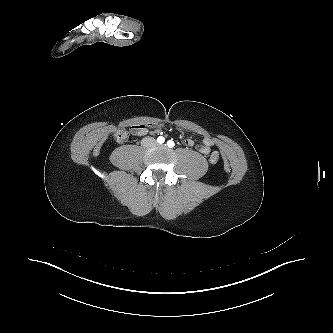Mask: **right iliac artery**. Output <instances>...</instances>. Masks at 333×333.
Masks as SVG:
<instances>
[{
  "mask_svg": "<svg viewBox=\"0 0 333 333\" xmlns=\"http://www.w3.org/2000/svg\"><path fill=\"white\" fill-rule=\"evenodd\" d=\"M157 142L160 143V144H162V143L165 142V138H164L163 136H159V137L157 138Z\"/></svg>",
  "mask_w": 333,
  "mask_h": 333,
  "instance_id": "82829eb1",
  "label": "right iliac artery"
}]
</instances>
